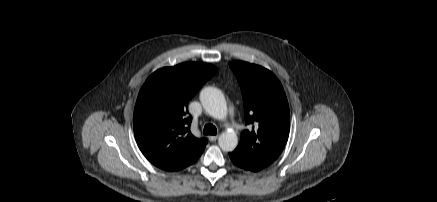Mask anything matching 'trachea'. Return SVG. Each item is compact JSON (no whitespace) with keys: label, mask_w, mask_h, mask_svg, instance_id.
<instances>
[{"label":"trachea","mask_w":437,"mask_h":202,"mask_svg":"<svg viewBox=\"0 0 437 202\" xmlns=\"http://www.w3.org/2000/svg\"><path fill=\"white\" fill-rule=\"evenodd\" d=\"M216 133H217V129H216V127L213 124L208 123V124H206L204 126L203 134H205V135H216Z\"/></svg>","instance_id":"1"}]
</instances>
